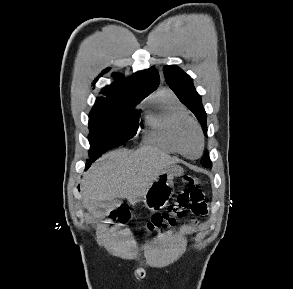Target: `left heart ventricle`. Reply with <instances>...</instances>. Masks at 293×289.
Listing matches in <instances>:
<instances>
[{
    "label": "left heart ventricle",
    "instance_id": "b2bd125f",
    "mask_svg": "<svg viewBox=\"0 0 293 289\" xmlns=\"http://www.w3.org/2000/svg\"><path fill=\"white\" fill-rule=\"evenodd\" d=\"M182 143L184 150L192 156H195L199 152L200 148V142L198 138V134L196 130L189 126L185 129L183 135H182Z\"/></svg>",
    "mask_w": 293,
    "mask_h": 289
}]
</instances>
